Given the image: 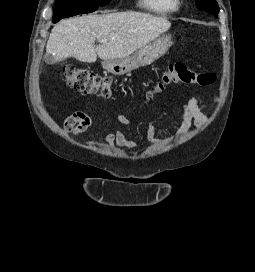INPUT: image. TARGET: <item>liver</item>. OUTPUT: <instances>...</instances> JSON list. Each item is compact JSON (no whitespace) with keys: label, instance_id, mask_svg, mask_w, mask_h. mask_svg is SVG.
Instances as JSON below:
<instances>
[{"label":"liver","instance_id":"6515ba94","mask_svg":"<svg viewBox=\"0 0 255 272\" xmlns=\"http://www.w3.org/2000/svg\"><path fill=\"white\" fill-rule=\"evenodd\" d=\"M170 26L166 17L135 11L68 18L52 29L46 53L53 54L55 61L71 56L87 63L95 62L97 56L104 61L121 59L155 40ZM95 41L100 43L96 47Z\"/></svg>","mask_w":255,"mask_h":272}]
</instances>
